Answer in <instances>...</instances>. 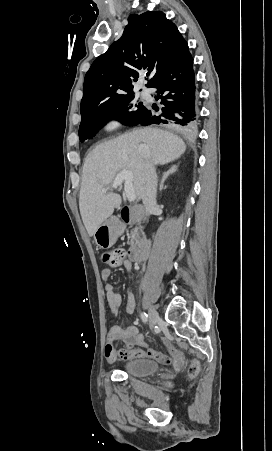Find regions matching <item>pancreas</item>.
I'll list each match as a JSON object with an SVG mask.
<instances>
[{
  "instance_id": "obj_1",
  "label": "pancreas",
  "mask_w": 272,
  "mask_h": 451,
  "mask_svg": "<svg viewBox=\"0 0 272 451\" xmlns=\"http://www.w3.org/2000/svg\"><path fill=\"white\" fill-rule=\"evenodd\" d=\"M124 224H122V222H120L119 226H118V231L121 235V233H123L124 231ZM141 235H142V229L141 226H135L133 227V229H131V239L129 241L130 245H134V243H139L140 239H141Z\"/></svg>"
}]
</instances>
